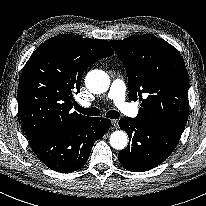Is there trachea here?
I'll return each instance as SVG.
<instances>
[{
	"label": "trachea",
	"mask_w": 206,
	"mask_h": 206,
	"mask_svg": "<svg viewBox=\"0 0 206 206\" xmlns=\"http://www.w3.org/2000/svg\"><path fill=\"white\" fill-rule=\"evenodd\" d=\"M76 110L84 115L87 116H99L100 115V111L99 109L92 107V108H83L81 106H79L78 104L75 106ZM120 116V114L115 111V110H111L108 111L106 113V117L110 118V119H118Z\"/></svg>",
	"instance_id": "3493384b"
}]
</instances>
